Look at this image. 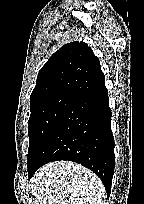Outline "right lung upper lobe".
Wrapping results in <instances>:
<instances>
[{
  "label": "right lung upper lobe",
  "mask_w": 144,
  "mask_h": 204,
  "mask_svg": "<svg viewBox=\"0 0 144 204\" xmlns=\"http://www.w3.org/2000/svg\"><path fill=\"white\" fill-rule=\"evenodd\" d=\"M104 81L91 48L84 42H72L56 51L39 71L30 104L62 94L77 96Z\"/></svg>",
  "instance_id": "obj_1"
}]
</instances>
